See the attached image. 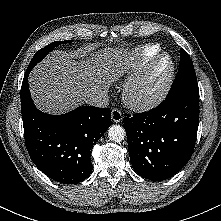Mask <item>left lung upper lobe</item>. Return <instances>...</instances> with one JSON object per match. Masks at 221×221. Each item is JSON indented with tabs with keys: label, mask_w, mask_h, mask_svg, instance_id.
<instances>
[{
	"label": "left lung upper lobe",
	"mask_w": 221,
	"mask_h": 221,
	"mask_svg": "<svg viewBox=\"0 0 221 221\" xmlns=\"http://www.w3.org/2000/svg\"><path fill=\"white\" fill-rule=\"evenodd\" d=\"M199 92L193 63L184 49H180V67L167 97L184 93Z\"/></svg>",
	"instance_id": "1"
}]
</instances>
